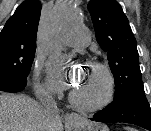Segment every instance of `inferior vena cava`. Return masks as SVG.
<instances>
[{
    "label": "inferior vena cava",
    "instance_id": "602c4592",
    "mask_svg": "<svg viewBox=\"0 0 151 131\" xmlns=\"http://www.w3.org/2000/svg\"><path fill=\"white\" fill-rule=\"evenodd\" d=\"M42 104L44 105L46 110L52 115L54 126L55 128H57V126L60 124L61 121L59 116L57 115V106L55 100L51 95L45 93L44 99L42 100ZM53 130H57V129H53Z\"/></svg>",
    "mask_w": 151,
    "mask_h": 131
}]
</instances>
